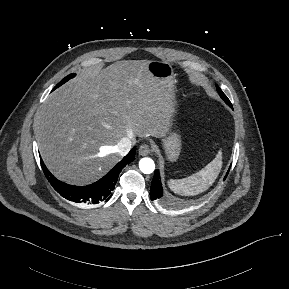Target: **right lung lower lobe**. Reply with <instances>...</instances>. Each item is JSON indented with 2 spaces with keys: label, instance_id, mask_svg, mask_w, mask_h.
<instances>
[{
  "label": "right lung lower lobe",
  "instance_id": "98d812e1",
  "mask_svg": "<svg viewBox=\"0 0 289 289\" xmlns=\"http://www.w3.org/2000/svg\"><path fill=\"white\" fill-rule=\"evenodd\" d=\"M134 147L116 166H114L103 178L87 186H72L56 179L46 168L41 160L43 172L52 187L69 201L84 204H96L105 200L114 190L119 173L135 158Z\"/></svg>",
  "mask_w": 289,
  "mask_h": 289
}]
</instances>
